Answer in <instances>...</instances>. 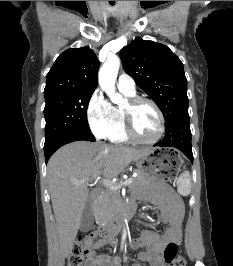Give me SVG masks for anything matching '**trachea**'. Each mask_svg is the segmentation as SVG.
<instances>
[{"mask_svg": "<svg viewBox=\"0 0 233 266\" xmlns=\"http://www.w3.org/2000/svg\"><path fill=\"white\" fill-rule=\"evenodd\" d=\"M111 5H114L115 1H109Z\"/></svg>", "mask_w": 233, "mask_h": 266, "instance_id": "trachea-1", "label": "trachea"}]
</instances>
